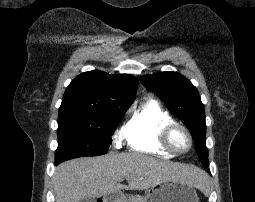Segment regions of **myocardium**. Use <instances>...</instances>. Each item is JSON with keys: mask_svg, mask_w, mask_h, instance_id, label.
I'll return each instance as SVG.
<instances>
[{"mask_svg": "<svg viewBox=\"0 0 255 202\" xmlns=\"http://www.w3.org/2000/svg\"><path fill=\"white\" fill-rule=\"evenodd\" d=\"M176 130H181L187 136L188 141H189V146L186 150L180 151L173 146L171 138H172L173 133ZM160 141H161V144L163 145V147L174 155L185 154V153L189 152L193 146V137H192L190 131L188 130L187 127H185L184 125L177 123V122L170 123L163 128L161 135H160Z\"/></svg>", "mask_w": 255, "mask_h": 202, "instance_id": "f54148a6", "label": "myocardium"}]
</instances>
